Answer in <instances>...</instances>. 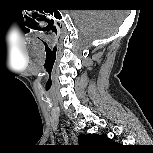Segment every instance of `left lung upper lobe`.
I'll return each mask as SVG.
<instances>
[{
  "instance_id": "5c2ea615",
  "label": "left lung upper lobe",
  "mask_w": 153,
  "mask_h": 153,
  "mask_svg": "<svg viewBox=\"0 0 153 153\" xmlns=\"http://www.w3.org/2000/svg\"><path fill=\"white\" fill-rule=\"evenodd\" d=\"M79 145L89 149H103L116 145L108 137H103L97 134H88L79 136Z\"/></svg>"
}]
</instances>
